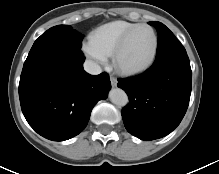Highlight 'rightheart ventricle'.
I'll list each match as a JSON object with an SVG mask.
<instances>
[{
	"mask_svg": "<svg viewBox=\"0 0 219 174\" xmlns=\"http://www.w3.org/2000/svg\"><path fill=\"white\" fill-rule=\"evenodd\" d=\"M139 23L115 20L97 27L89 41L104 55L111 57L122 37Z\"/></svg>",
	"mask_w": 219,
	"mask_h": 174,
	"instance_id": "1",
	"label": "right heart ventricle"
}]
</instances>
